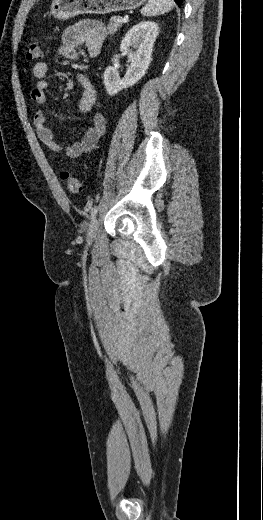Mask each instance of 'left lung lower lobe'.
I'll return each instance as SVG.
<instances>
[{
  "mask_svg": "<svg viewBox=\"0 0 263 520\" xmlns=\"http://www.w3.org/2000/svg\"><path fill=\"white\" fill-rule=\"evenodd\" d=\"M182 1H183V0H175V2L178 4L179 7L181 6Z\"/></svg>",
  "mask_w": 263,
  "mask_h": 520,
  "instance_id": "1",
  "label": "left lung lower lobe"
}]
</instances>
